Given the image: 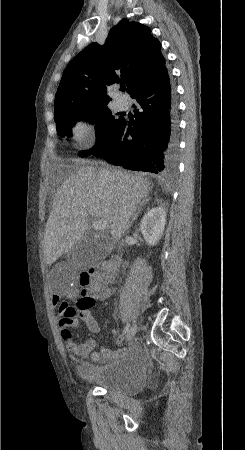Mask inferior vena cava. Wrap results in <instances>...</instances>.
<instances>
[{"mask_svg": "<svg viewBox=\"0 0 245 450\" xmlns=\"http://www.w3.org/2000/svg\"><path fill=\"white\" fill-rule=\"evenodd\" d=\"M103 173L107 175V174H108V171H107V170H103Z\"/></svg>", "mask_w": 245, "mask_h": 450, "instance_id": "602c4592", "label": "inferior vena cava"}]
</instances>
